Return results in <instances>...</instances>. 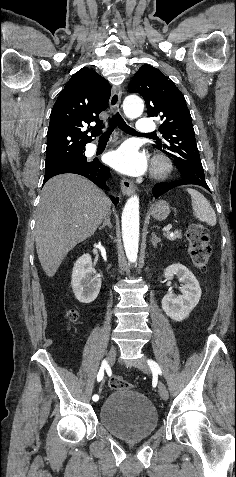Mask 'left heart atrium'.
<instances>
[{
    "label": "left heart atrium",
    "mask_w": 236,
    "mask_h": 477,
    "mask_svg": "<svg viewBox=\"0 0 236 477\" xmlns=\"http://www.w3.org/2000/svg\"><path fill=\"white\" fill-rule=\"evenodd\" d=\"M106 161L117 171L132 176L141 175L147 169L145 154L132 143H125L118 149L109 152Z\"/></svg>",
    "instance_id": "1"
}]
</instances>
